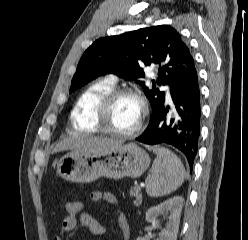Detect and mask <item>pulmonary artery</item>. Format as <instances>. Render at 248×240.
Wrapping results in <instances>:
<instances>
[{
	"label": "pulmonary artery",
	"mask_w": 248,
	"mask_h": 240,
	"mask_svg": "<svg viewBox=\"0 0 248 240\" xmlns=\"http://www.w3.org/2000/svg\"><path fill=\"white\" fill-rule=\"evenodd\" d=\"M109 81L112 82V83H114V84L116 83V79L115 78H110ZM165 89L167 90V94L169 96L168 88L166 87Z\"/></svg>",
	"instance_id": "pulmonary-artery-1"
}]
</instances>
